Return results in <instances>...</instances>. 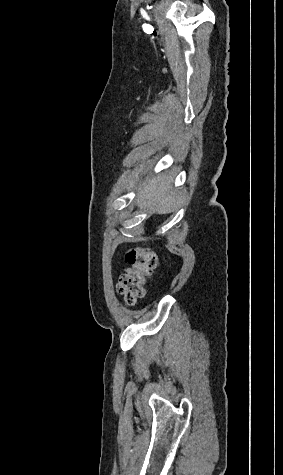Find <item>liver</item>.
<instances>
[{
  "label": "liver",
  "instance_id": "1",
  "mask_svg": "<svg viewBox=\"0 0 283 475\" xmlns=\"http://www.w3.org/2000/svg\"><path fill=\"white\" fill-rule=\"evenodd\" d=\"M172 180L171 176L158 174L157 178L143 182L137 196L138 208L149 214H171L178 204L176 190L171 188Z\"/></svg>",
  "mask_w": 283,
  "mask_h": 475
}]
</instances>
